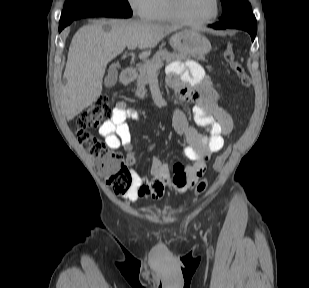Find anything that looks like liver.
I'll return each mask as SVG.
<instances>
[{
    "mask_svg": "<svg viewBox=\"0 0 309 288\" xmlns=\"http://www.w3.org/2000/svg\"><path fill=\"white\" fill-rule=\"evenodd\" d=\"M176 26L134 20H100L81 27L71 41L60 89L59 103L68 121L90 106L102 93L107 64L126 47H138L145 58ZM149 49V50H148Z\"/></svg>",
    "mask_w": 309,
    "mask_h": 288,
    "instance_id": "liver-1",
    "label": "liver"
}]
</instances>
